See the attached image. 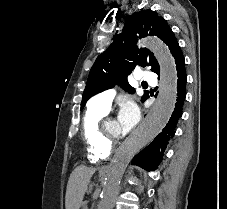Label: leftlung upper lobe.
I'll return each instance as SVG.
<instances>
[{
	"label": "left lung upper lobe",
	"instance_id": "obj_1",
	"mask_svg": "<svg viewBox=\"0 0 227 209\" xmlns=\"http://www.w3.org/2000/svg\"><path fill=\"white\" fill-rule=\"evenodd\" d=\"M157 36L168 45L175 57L180 48L166 20L152 10H143L126 17L122 32L114 37L113 43L100 54L92 66L83 93L81 110L85 103L95 94L114 87L116 84L133 94L134 88L129 85L127 75L137 66L151 67L159 74V64L154 54L144 48L136 47L137 38ZM149 98L145 93L142 101Z\"/></svg>",
	"mask_w": 227,
	"mask_h": 209
}]
</instances>
